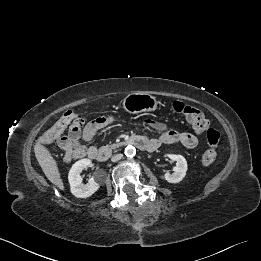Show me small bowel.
I'll use <instances>...</instances> for the list:
<instances>
[{"mask_svg":"<svg viewBox=\"0 0 261 261\" xmlns=\"http://www.w3.org/2000/svg\"><path fill=\"white\" fill-rule=\"evenodd\" d=\"M113 122L114 119L112 117L97 118L84 128L82 139L85 142L91 141L100 129L112 124ZM147 124L150 128L161 132L159 137L150 139L157 145V147L162 144H180L187 150H193L198 145V138L192 133L170 130L165 124L150 120L147 121ZM60 146L65 151V159L67 161L83 158L88 156L89 151L97 150L94 146L80 144L77 139L67 141L63 144L60 143Z\"/></svg>","mask_w":261,"mask_h":261,"instance_id":"obj_1","label":"small bowel"}]
</instances>
